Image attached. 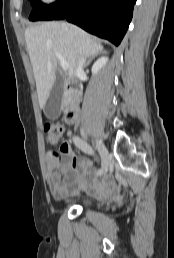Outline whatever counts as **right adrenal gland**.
I'll return each instance as SVG.
<instances>
[{"mask_svg":"<svg viewBox=\"0 0 174 258\" xmlns=\"http://www.w3.org/2000/svg\"><path fill=\"white\" fill-rule=\"evenodd\" d=\"M103 53H104V52H102V54H103ZM97 55H98V54L91 56V57L88 59V61L85 63V67H87V66L91 63V61H92Z\"/></svg>","mask_w":174,"mask_h":258,"instance_id":"1","label":"right adrenal gland"}]
</instances>
